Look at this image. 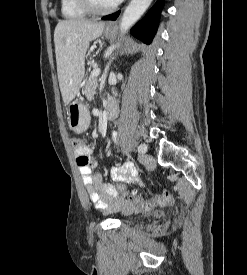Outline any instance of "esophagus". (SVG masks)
Wrapping results in <instances>:
<instances>
[{
  "label": "esophagus",
  "instance_id": "1",
  "mask_svg": "<svg viewBox=\"0 0 247 275\" xmlns=\"http://www.w3.org/2000/svg\"><path fill=\"white\" fill-rule=\"evenodd\" d=\"M107 27H109V28L114 27V23L113 22L108 23Z\"/></svg>",
  "mask_w": 247,
  "mask_h": 275
}]
</instances>
